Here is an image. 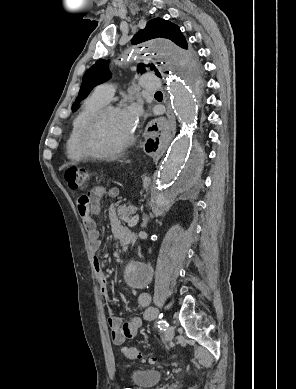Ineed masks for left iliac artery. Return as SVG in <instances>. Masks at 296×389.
Listing matches in <instances>:
<instances>
[{
	"instance_id": "44dca946",
	"label": "left iliac artery",
	"mask_w": 296,
	"mask_h": 389,
	"mask_svg": "<svg viewBox=\"0 0 296 389\" xmlns=\"http://www.w3.org/2000/svg\"><path fill=\"white\" fill-rule=\"evenodd\" d=\"M157 323H158V327H159L160 330H164L165 331L168 328V326H169L168 323L166 321H164V320H160Z\"/></svg>"
}]
</instances>
